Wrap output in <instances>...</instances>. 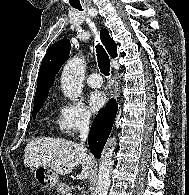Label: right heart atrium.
<instances>
[{"label": "right heart atrium", "instance_id": "obj_1", "mask_svg": "<svg viewBox=\"0 0 189 195\" xmlns=\"http://www.w3.org/2000/svg\"><path fill=\"white\" fill-rule=\"evenodd\" d=\"M91 122V115L85 106L79 101L62 102L56 121L59 132L73 135L79 130L86 128Z\"/></svg>", "mask_w": 189, "mask_h": 195}]
</instances>
